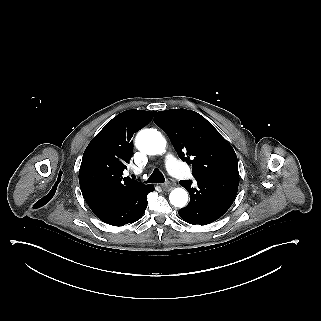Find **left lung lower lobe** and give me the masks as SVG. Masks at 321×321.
Segmentation results:
<instances>
[{
	"instance_id": "0a47b994",
	"label": "left lung lower lobe",
	"mask_w": 321,
	"mask_h": 321,
	"mask_svg": "<svg viewBox=\"0 0 321 321\" xmlns=\"http://www.w3.org/2000/svg\"><path fill=\"white\" fill-rule=\"evenodd\" d=\"M180 181L190 194V202L179 210L180 217L193 225H206L219 219L232 205L238 191L239 175H217Z\"/></svg>"
}]
</instances>
